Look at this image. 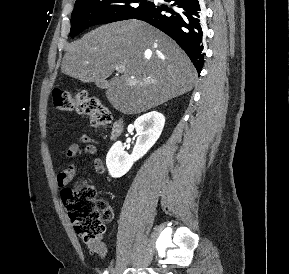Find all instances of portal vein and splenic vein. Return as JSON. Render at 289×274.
<instances>
[{
    "label": "portal vein and splenic vein",
    "mask_w": 289,
    "mask_h": 274,
    "mask_svg": "<svg viewBox=\"0 0 289 274\" xmlns=\"http://www.w3.org/2000/svg\"><path fill=\"white\" fill-rule=\"evenodd\" d=\"M124 69H125L124 66H118V67H116V71H117L118 73L123 72Z\"/></svg>",
    "instance_id": "portal-vein-and-splenic-vein-1"
}]
</instances>
